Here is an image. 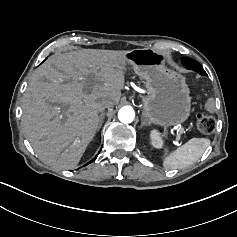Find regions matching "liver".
<instances>
[{
  "label": "liver",
  "mask_w": 237,
  "mask_h": 237,
  "mask_svg": "<svg viewBox=\"0 0 237 237\" xmlns=\"http://www.w3.org/2000/svg\"><path fill=\"white\" fill-rule=\"evenodd\" d=\"M127 52L80 49L52 55L35 72L22 99V126L44 164L77 166L98 128L101 102L119 103Z\"/></svg>",
  "instance_id": "obj_1"
}]
</instances>
